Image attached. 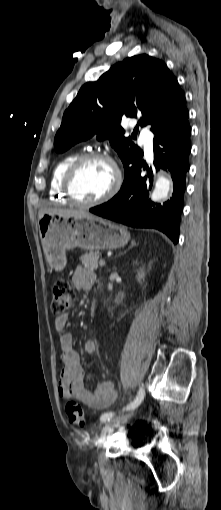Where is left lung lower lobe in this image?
<instances>
[{
  "label": "left lung lower lobe",
  "mask_w": 221,
  "mask_h": 510,
  "mask_svg": "<svg viewBox=\"0 0 221 510\" xmlns=\"http://www.w3.org/2000/svg\"><path fill=\"white\" fill-rule=\"evenodd\" d=\"M188 117L158 131L153 141L154 167L171 173L174 192L170 200L163 205L148 200L152 176L149 169L147 176H141V169H146V165L140 161L115 197L89 211L128 226L158 229L176 244L191 151Z\"/></svg>",
  "instance_id": "left-lung-lower-lobe-1"
}]
</instances>
